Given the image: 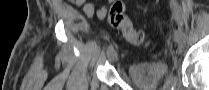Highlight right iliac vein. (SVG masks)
<instances>
[{"label":"right iliac vein","instance_id":"obj_1","mask_svg":"<svg viewBox=\"0 0 209 90\" xmlns=\"http://www.w3.org/2000/svg\"><path fill=\"white\" fill-rule=\"evenodd\" d=\"M117 59V52L115 50L111 51L108 55V60L113 62Z\"/></svg>","mask_w":209,"mask_h":90}]
</instances>
